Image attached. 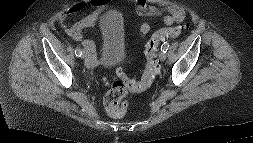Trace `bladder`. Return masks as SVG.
Wrapping results in <instances>:
<instances>
[{
	"label": "bladder",
	"instance_id": "bladder-1",
	"mask_svg": "<svg viewBox=\"0 0 253 143\" xmlns=\"http://www.w3.org/2000/svg\"><path fill=\"white\" fill-rule=\"evenodd\" d=\"M100 52L98 65L110 69L128 55L122 14L109 10L100 18Z\"/></svg>",
	"mask_w": 253,
	"mask_h": 143
}]
</instances>
